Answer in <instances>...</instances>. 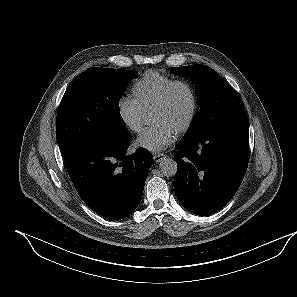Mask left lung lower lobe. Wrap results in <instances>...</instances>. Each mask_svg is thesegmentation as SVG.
I'll return each mask as SVG.
<instances>
[{
  "label": "left lung lower lobe",
  "mask_w": 297,
  "mask_h": 297,
  "mask_svg": "<svg viewBox=\"0 0 297 297\" xmlns=\"http://www.w3.org/2000/svg\"><path fill=\"white\" fill-rule=\"evenodd\" d=\"M249 120L245 114L182 138L175 146L174 189L190 212L206 216L223 208L248 166Z\"/></svg>",
  "instance_id": "1"
}]
</instances>
